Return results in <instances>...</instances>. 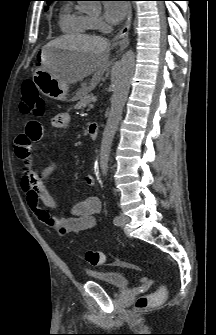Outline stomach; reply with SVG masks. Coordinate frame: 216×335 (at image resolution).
<instances>
[{
  "instance_id": "obj_1",
  "label": "stomach",
  "mask_w": 216,
  "mask_h": 335,
  "mask_svg": "<svg viewBox=\"0 0 216 335\" xmlns=\"http://www.w3.org/2000/svg\"><path fill=\"white\" fill-rule=\"evenodd\" d=\"M77 54V51L71 49L52 46L42 48L39 56L41 66L35 71L33 80L44 95L59 101H76L81 97L82 90L69 96V83L58 77Z\"/></svg>"
}]
</instances>
